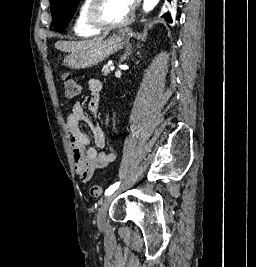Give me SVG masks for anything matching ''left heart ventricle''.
Masks as SVG:
<instances>
[{
  "mask_svg": "<svg viewBox=\"0 0 256 267\" xmlns=\"http://www.w3.org/2000/svg\"><path fill=\"white\" fill-rule=\"evenodd\" d=\"M99 15L108 25H122L132 18V13L126 12L116 0L104 2Z\"/></svg>",
  "mask_w": 256,
  "mask_h": 267,
  "instance_id": "1",
  "label": "left heart ventricle"
}]
</instances>
